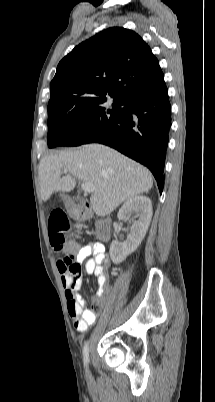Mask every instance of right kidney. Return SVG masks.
<instances>
[{"label": "right kidney", "mask_w": 215, "mask_h": 402, "mask_svg": "<svg viewBox=\"0 0 215 402\" xmlns=\"http://www.w3.org/2000/svg\"><path fill=\"white\" fill-rule=\"evenodd\" d=\"M152 203L146 196H134L128 199L119 209L117 217L126 219L130 214H136L131 231L123 243L114 240L110 245V257L115 264H119L133 253L144 239L152 218Z\"/></svg>", "instance_id": "1"}]
</instances>
